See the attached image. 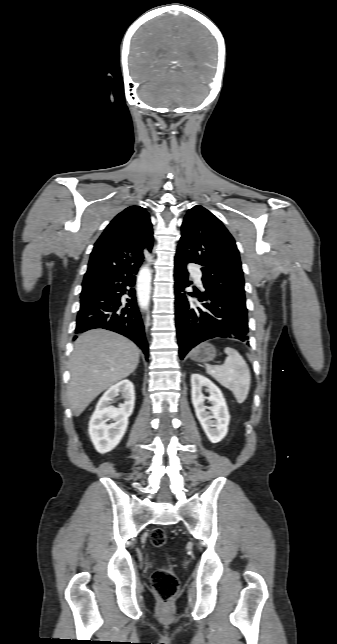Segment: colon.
Listing matches in <instances>:
<instances>
[{
    "mask_svg": "<svg viewBox=\"0 0 337 644\" xmlns=\"http://www.w3.org/2000/svg\"><path fill=\"white\" fill-rule=\"evenodd\" d=\"M150 541L155 547H162L166 542V534L162 528H155L150 533ZM152 585L161 602L169 604L179 589V580L172 567L157 569L152 575Z\"/></svg>",
    "mask_w": 337,
    "mask_h": 644,
    "instance_id": "1",
    "label": "colon"
}]
</instances>
